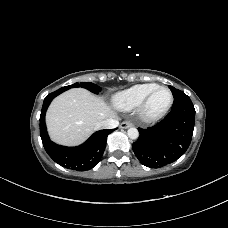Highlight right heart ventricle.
Returning a JSON list of instances; mask_svg holds the SVG:
<instances>
[{"label":"right heart ventricle","instance_id":"1","mask_svg":"<svg viewBox=\"0 0 228 228\" xmlns=\"http://www.w3.org/2000/svg\"><path fill=\"white\" fill-rule=\"evenodd\" d=\"M157 86H159L157 83H144L134 85L116 94L113 98V103L120 110H134L139 107L147 94Z\"/></svg>","mask_w":228,"mask_h":228}]
</instances>
